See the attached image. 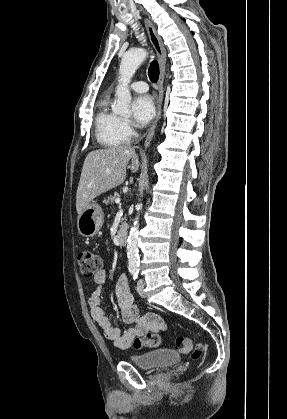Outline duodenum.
Masks as SVG:
<instances>
[{
  "mask_svg": "<svg viewBox=\"0 0 287 419\" xmlns=\"http://www.w3.org/2000/svg\"><path fill=\"white\" fill-rule=\"evenodd\" d=\"M116 243L119 246H125L128 240V233L125 230H118L115 236Z\"/></svg>",
  "mask_w": 287,
  "mask_h": 419,
  "instance_id": "1",
  "label": "duodenum"
}]
</instances>
